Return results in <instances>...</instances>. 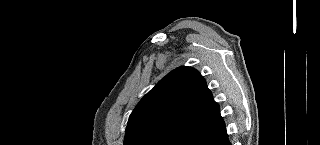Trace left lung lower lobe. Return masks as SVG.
I'll return each mask as SVG.
<instances>
[{"label":"left lung lower lobe","mask_w":320,"mask_h":145,"mask_svg":"<svg viewBox=\"0 0 320 145\" xmlns=\"http://www.w3.org/2000/svg\"><path fill=\"white\" fill-rule=\"evenodd\" d=\"M178 145H231L217 103L210 117L189 131Z\"/></svg>","instance_id":"0a47b994"}]
</instances>
